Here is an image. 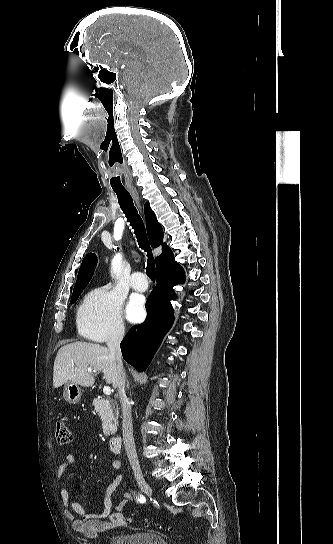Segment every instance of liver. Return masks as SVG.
Segmentation results:
<instances>
[{"label": "liver", "instance_id": "obj_1", "mask_svg": "<svg viewBox=\"0 0 333 544\" xmlns=\"http://www.w3.org/2000/svg\"><path fill=\"white\" fill-rule=\"evenodd\" d=\"M89 368L93 372H102L106 382L117 388V364L109 349L82 341L64 345L59 349L54 362V388L62 386L68 380L80 386H92L95 379L88 373Z\"/></svg>", "mask_w": 333, "mask_h": 544}]
</instances>
